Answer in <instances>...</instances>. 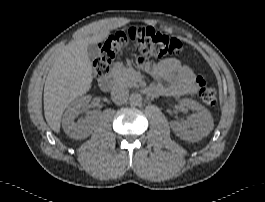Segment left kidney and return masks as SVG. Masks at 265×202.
Listing matches in <instances>:
<instances>
[{
	"label": "left kidney",
	"mask_w": 265,
	"mask_h": 202,
	"mask_svg": "<svg viewBox=\"0 0 265 202\" xmlns=\"http://www.w3.org/2000/svg\"><path fill=\"white\" fill-rule=\"evenodd\" d=\"M180 105L196 111V113L191 115L188 121L170 123L177 136L188 142H197L213 130V118L204 106L191 99L181 100ZM190 126L192 129H189Z\"/></svg>",
	"instance_id": "left-kidney-1"
}]
</instances>
